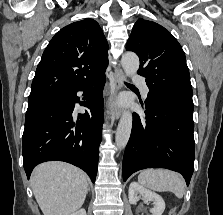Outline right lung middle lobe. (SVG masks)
<instances>
[{
    "mask_svg": "<svg viewBox=\"0 0 223 215\" xmlns=\"http://www.w3.org/2000/svg\"><path fill=\"white\" fill-rule=\"evenodd\" d=\"M69 94H60V93H45V94H35L29 95L28 98V107H33L36 105L46 104L54 100L63 98Z\"/></svg>",
    "mask_w": 223,
    "mask_h": 215,
    "instance_id": "dd1d6c3e",
    "label": "right lung middle lobe"
}]
</instances>
